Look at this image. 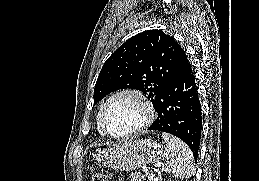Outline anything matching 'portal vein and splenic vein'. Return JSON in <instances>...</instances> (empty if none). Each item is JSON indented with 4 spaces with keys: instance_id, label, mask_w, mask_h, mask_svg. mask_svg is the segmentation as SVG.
<instances>
[{
    "instance_id": "portal-vein-and-splenic-vein-1",
    "label": "portal vein and splenic vein",
    "mask_w": 259,
    "mask_h": 181,
    "mask_svg": "<svg viewBox=\"0 0 259 181\" xmlns=\"http://www.w3.org/2000/svg\"><path fill=\"white\" fill-rule=\"evenodd\" d=\"M143 172H144L146 175H149V176H150V174H148V169H147L146 167L143 168ZM150 177H152V176H150Z\"/></svg>"
}]
</instances>
